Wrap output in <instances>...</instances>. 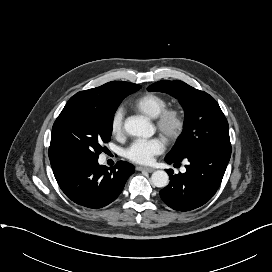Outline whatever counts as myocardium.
<instances>
[{"mask_svg": "<svg viewBox=\"0 0 272 272\" xmlns=\"http://www.w3.org/2000/svg\"><path fill=\"white\" fill-rule=\"evenodd\" d=\"M155 124L163 137L167 141L173 142L182 135L185 128V119L179 108L166 107L155 117Z\"/></svg>", "mask_w": 272, "mask_h": 272, "instance_id": "myocardium-1", "label": "myocardium"}]
</instances>
